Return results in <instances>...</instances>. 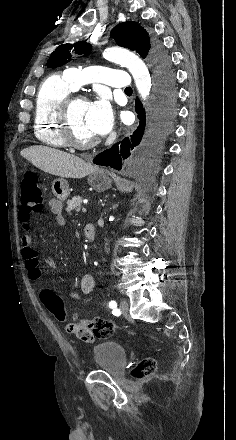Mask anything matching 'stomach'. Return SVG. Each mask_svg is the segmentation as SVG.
Listing matches in <instances>:
<instances>
[{"label": "stomach", "mask_w": 236, "mask_h": 440, "mask_svg": "<svg viewBox=\"0 0 236 440\" xmlns=\"http://www.w3.org/2000/svg\"><path fill=\"white\" fill-rule=\"evenodd\" d=\"M89 185L98 192H103L111 187L112 181L104 169H95L88 176ZM52 192L58 200L64 201L68 198L69 184L63 178H57L52 182Z\"/></svg>", "instance_id": "stomach-1"}]
</instances>
